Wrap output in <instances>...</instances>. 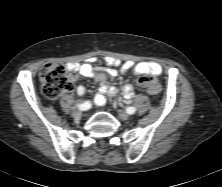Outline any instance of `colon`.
<instances>
[{
  "label": "colon",
  "mask_w": 222,
  "mask_h": 187,
  "mask_svg": "<svg viewBox=\"0 0 222 187\" xmlns=\"http://www.w3.org/2000/svg\"><path fill=\"white\" fill-rule=\"evenodd\" d=\"M73 76L74 73L69 72L60 63L46 64L40 73L44 95L49 99H56L63 93L70 91L73 86L71 81ZM137 82L141 89L150 94H156L159 91V85L152 77L140 76Z\"/></svg>",
  "instance_id": "1"
}]
</instances>
